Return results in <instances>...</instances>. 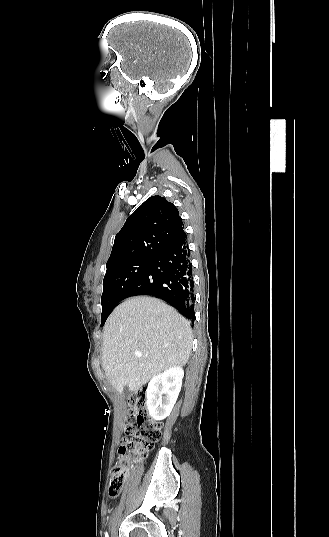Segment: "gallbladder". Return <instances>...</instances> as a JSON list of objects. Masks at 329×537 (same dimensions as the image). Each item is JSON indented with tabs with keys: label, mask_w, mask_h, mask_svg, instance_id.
<instances>
[{
	"label": "gallbladder",
	"mask_w": 329,
	"mask_h": 537,
	"mask_svg": "<svg viewBox=\"0 0 329 537\" xmlns=\"http://www.w3.org/2000/svg\"><path fill=\"white\" fill-rule=\"evenodd\" d=\"M129 393H130V390H129L128 386H124V388H123V394H124L125 396H127V395H129Z\"/></svg>",
	"instance_id": "gallbladder-1"
}]
</instances>
